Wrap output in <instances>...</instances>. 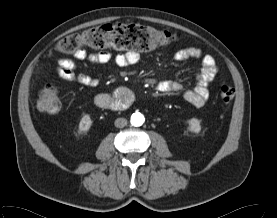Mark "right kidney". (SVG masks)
Listing matches in <instances>:
<instances>
[{
    "instance_id": "1",
    "label": "right kidney",
    "mask_w": 277,
    "mask_h": 218,
    "mask_svg": "<svg viewBox=\"0 0 277 218\" xmlns=\"http://www.w3.org/2000/svg\"><path fill=\"white\" fill-rule=\"evenodd\" d=\"M91 125H92V120L90 116L88 114L84 115L80 120L78 132L80 134L87 133Z\"/></svg>"
}]
</instances>
